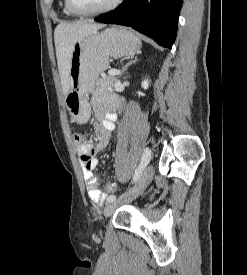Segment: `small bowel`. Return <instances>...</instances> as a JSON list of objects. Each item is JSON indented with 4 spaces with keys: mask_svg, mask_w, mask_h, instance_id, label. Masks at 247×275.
I'll use <instances>...</instances> for the list:
<instances>
[{
    "mask_svg": "<svg viewBox=\"0 0 247 275\" xmlns=\"http://www.w3.org/2000/svg\"><path fill=\"white\" fill-rule=\"evenodd\" d=\"M93 111L98 119V137L92 143H84L78 147L79 160L82 165L83 177L87 186L88 196L94 203H102L106 194L99 189V181L94 174L98 166L97 154L110 142L111 133L115 129L118 115L110 110L118 105V99L112 95L101 94L92 98Z\"/></svg>",
    "mask_w": 247,
    "mask_h": 275,
    "instance_id": "small-bowel-1",
    "label": "small bowel"
}]
</instances>
